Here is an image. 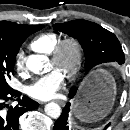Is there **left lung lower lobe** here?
<instances>
[{
  "label": "left lung lower lobe",
  "instance_id": "0a47b994",
  "mask_svg": "<svg viewBox=\"0 0 130 130\" xmlns=\"http://www.w3.org/2000/svg\"><path fill=\"white\" fill-rule=\"evenodd\" d=\"M76 93L70 92L69 97L73 98ZM69 112H70V103H67L64 109L62 110L61 116L55 122L53 130H72L69 122ZM110 124L106 125L103 130H106Z\"/></svg>",
  "mask_w": 130,
  "mask_h": 130
}]
</instances>
